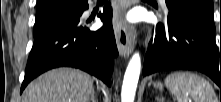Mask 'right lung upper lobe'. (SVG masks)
I'll return each instance as SVG.
<instances>
[{
    "label": "right lung upper lobe",
    "instance_id": "obj_1",
    "mask_svg": "<svg viewBox=\"0 0 221 102\" xmlns=\"http://www.w3.org/2000/svg\"><path fill=\"white\" fill-rule=\"evenodd\" d=\"M52 0H38L37 8L48 5ZM81 1V0H80Z\"/></svg>",
    "mask_w": 221,
    "mask_h": 102
}]
</instances>
